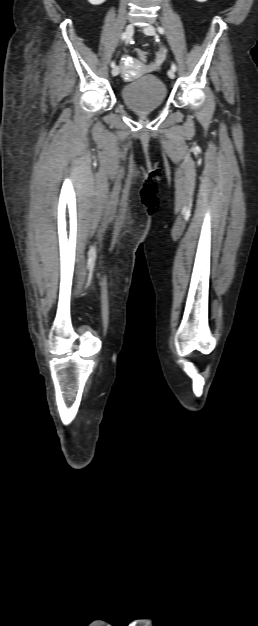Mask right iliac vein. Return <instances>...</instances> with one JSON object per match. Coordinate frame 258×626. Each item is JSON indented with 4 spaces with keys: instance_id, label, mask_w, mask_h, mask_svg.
I'll list each match as a JSON object with an SVG mask.
<instances>
[{
    "instance_id": "obj_1",
    "label": "right iliac vein",
    "mask_w": 258,
    "mask_h": 626,
    "mask_svg": "<svg viewBox=\"0 0 258 626\" xmlns=\"http://www.w3.org/2000/svg\"><path fill=\"white\" fill-rule=\"evenodd\" d=\"M133 32H134L133 25L132 24H128L126 26V28H125V39H126V41H128L131 38V36L133 35ZM119 72H120V69H119L118 66H116V67H114L112 69L111 73H112L113 76H117L119 74Z\"/></svg>"
}]
</instances>
